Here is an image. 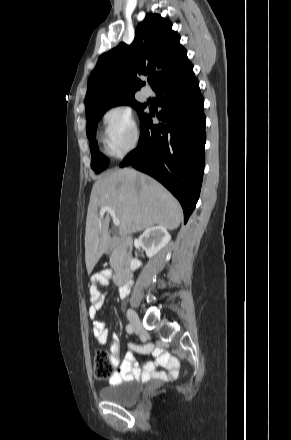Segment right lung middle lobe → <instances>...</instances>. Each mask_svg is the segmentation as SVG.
Segmentation results:
<instances>
[{
  "instance_id": "1",
  "label": "right lung middle lobe",
  "mask_w": 291,
  "mask_h": 440,
  "mask_svg": "<svg viewBox=\"0 0 291 440\" xmlns=\"http://www.w3.org/2000/svg\"><path fill=\"white\" fill-rule=\"evenodd\" d=\"M131 105L133 106L138 112L139 117L142 118L144 114L141 113V111L146 107V104H140L138 103L134 97L115 102L112 104H107L103 106L96 107L89 112L86 113L87 115V137L89 139V145H90V151H91V168L95 170L96 173L101 172L107 167V161L108 159L98 152V146L95 141V135H96V126L98 121L100 120L101 116L111 107L118 106V105Z\"/></svg>"
}]
</instances>
